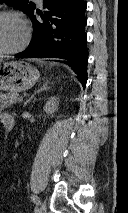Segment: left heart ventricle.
<instances>
[{
    "mask_svg": "<svg viewBox=\"0 0 128 213\" xmlns=\"http://www.w3.org/2000/svg\"><path fill=\"white\" fill-rule=\"evenodd\" d=\"M23 37L24 28L18 19L12 16L0 17V50L17 47Z\"/></svg>",
    "mask_w": 128,
    "mask_h": 213,
    "instance_id": "left-heart-ventricle-1",
    "label": "left heart ventricle"
}]
</instances>
